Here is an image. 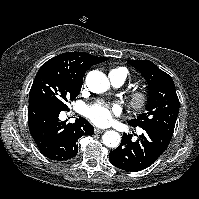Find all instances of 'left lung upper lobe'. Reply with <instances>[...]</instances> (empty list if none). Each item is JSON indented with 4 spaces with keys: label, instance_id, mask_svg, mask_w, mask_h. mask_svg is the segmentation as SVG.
I'll return each mask as SVG.
<instances>
[{
    "label": "left lung upper lobe",
    "instance_id": "5c2ea615",
    "mask_svg": "<svg viewBox=\"0 0 199 199\" xmlns=\"http://www.w3.org/2000/svg\"><path fill=\"white\" fill-rule=\"evenodd\" d=\"M147 80L149 97L146 111L129 125L142 129H157L173 136L179 112V99L170 75L148 60L128 61Z\"/></svg>",
    "mask_w": 199,
    "mask_h": 199
}]
</instances>
